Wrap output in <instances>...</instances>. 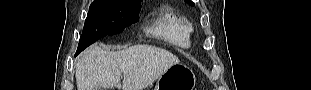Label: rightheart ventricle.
Returning a JSON list of instances; mask_svg holds the SVG:
<instances>
[{
    "label": "right heart ventricle",
    "mask_w": 311,
    "mask_h": 90,
    "mask_svg": "<svg viewBox=\"0 0 311 90\" xmlns=\"http://www.w3.org/2000/svg\"><path fill=\"white\" fill-rule=\"evenodd\" d=\"M149 32L174 46L187 48L191 44L193 27L175 9L169 8L159 17Z\"/></svg>",
    "instance_id": "obj_1"
}]
</instances>
